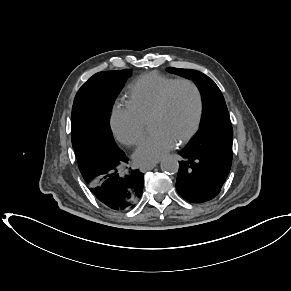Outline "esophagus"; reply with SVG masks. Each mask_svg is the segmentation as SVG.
Here are the masks:
<instances>
[{"label":"esophagus","instance_id":"34e87169","mask_svg":"<svg viewBox=\"0 0 291 291\" xmlns=\"http://www.w3.org/2000/svg\"><path fill=\"white\" fill-rule=\"evenodd\" d=\"M158 163H159V161H158V162H155V163H151V164L143 165V166L141 167V170H143V171L151 170V169H153L155 166H157Z\"/></svg>","mask_w":291,"mask_h":291}]
</instances>
